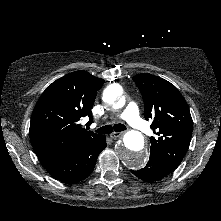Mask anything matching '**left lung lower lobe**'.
<instances>
[{
  "label": "left lung lower lobe",
  "instance_id": "obj_1",
  "mask_svg": "<svg viewBox=\"0 0 221 221\" xmlns=\"http://www.w3.org/2000/svg\"><path fill=\"white\" fill-rule=\"evenodd\" d=\"M131 172L138 178L147 182L160 180L171 173V171L165 168L163 164L153 156H150L147 165L143 169L138 171L131 170Z\"/></svg>",
  "mask_w": 221,
  "mask_h": 221
}]
</instances>
